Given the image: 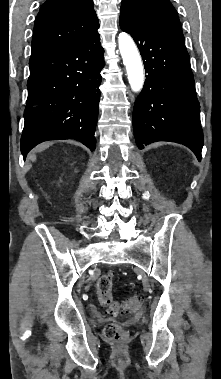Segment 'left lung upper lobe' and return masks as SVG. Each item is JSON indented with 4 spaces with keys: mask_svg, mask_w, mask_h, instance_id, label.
<instances>
[{
    "mask_svg": "<svg viewBox=\"0 0 221 379\" xmlns=\"http://www.w3.org/2000/svg\"><path fill=\"white\" fill-rule=\"evenodd\" d=\"M145 23L166 31L182 33L177 11L169 0H122Z\"/></svg>",
    "mask_w": 221,
    "mask_h": 379,
    "instance_id": "5c2ea615",
    "label": "left lung upper lobe"
}]
</instances>
